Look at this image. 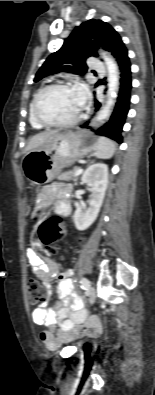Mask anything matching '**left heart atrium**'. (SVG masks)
Instances as JSON below:
<instances>
[{
    "mask_svg": "<svg viewBox=\"0 0 155 395\" xmlns=\"http://www.w3.org/2000/svg\"><path fill=\"white\" fill-rule=\"evenodd\" d=\"M76 98L80 109H82L88 100V90L83 84L77 85L75 88Z\"/></svg>",
    "mask_w": 155,
    "mask_h": 395,
    "instance_id": "39dd6f15",
    "label": "left heart atrium"
}]
</instances>
